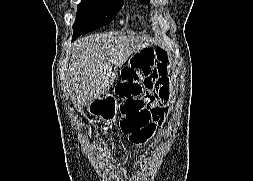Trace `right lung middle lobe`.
<instances>
[{
  "label": "right lung middle lobe",
  "mask_w": 253,
  "mask_h": 181,
  "mask_svg": "<svg viewBox=\"0 0 253 181\" xmlns=\"http://www.w3.org/2000/svg\"><path fill=\"white\" fill-rule=\"evenodd\" d=\"M121 7L122 0H82L77 6L73 38L110 23Z\"/></svg>",
  "instance_id": "obj_1"
}]
</instances>
